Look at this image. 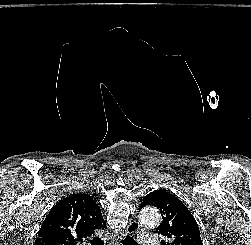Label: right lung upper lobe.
<instances>
[{
	"mask_svg": "<svg viewBox=\"0 0 251 245\" xmlns=\"http://www.w3.org/2000/svg\"><path fill=\"white\" fill-rule=\"evenodd\" d=\"M105 226L98 204L88 194H73L51 209L33 245H76Z\"/></svg>",
	"mask_w": 251,
	"mask_h": 245,
	"instance_id": "right-lung-upper-lobe-1",
	"label": "right lung upper lobe"
}]
</instances>
